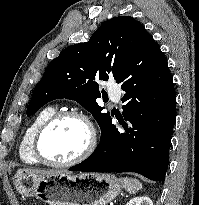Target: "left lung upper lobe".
Here are the masks:
<instances>
[{
  "instance_id": "5c2ea615",
  "label": "left lung upper lobe",
  "mask_w": 199,
  "mask_h": 205,
  "mask_svg": "<svg viewBox=\"0 0 199 205\" xmlns=\"http://www.w3.org/2000/svg\"><path fill=\"white\" fill-rule=\"evenodd\" d=\"M144 27L131 16L105 21L86 43L65 48L47 66L35 86L27 107V116L58 98L77 101L98 122L101 132L111 121L110 113H102L96 102L101 98L96 80L114 77L120 83L123 68L136 48Z\"/></svg>"
}]
</instances>
